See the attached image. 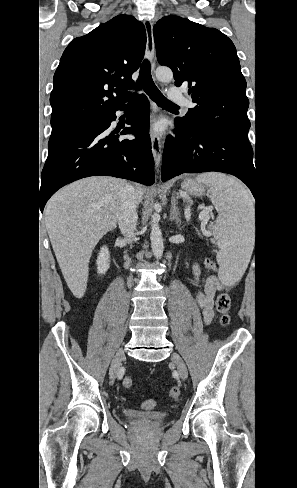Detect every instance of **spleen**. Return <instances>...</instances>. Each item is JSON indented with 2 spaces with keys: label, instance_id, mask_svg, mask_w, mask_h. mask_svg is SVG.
Wrapping results in <instances>:
<instances>
[{
  "label": "spleen",
  "instance_id": "obj_1",
  "mask_svg": "<svg viewBox=\"0 0 297 488\" xmlns=\"http://www.w3.org/2000/svg\"><path fill=\"white\" fill-rule=\"evenodd\" d=\"M196 180L210 189L218 216L213 236L220 244L219 276L234 283L244 274L254 244V207L248 190L235 178L221 173H202Z\"/></svg>",
  "mask_w": 297,
  "mask_h": 488
}]
</instances>
